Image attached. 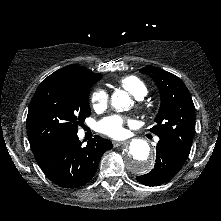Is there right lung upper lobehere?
<instances>
[{"label": "right lung upper lobe", "instance_id": "1", "mask_svg": "<svg viewBox=\"0 0 221 221\" xmlns=\"http://www.w3.org/2000/svg\"><path fill=\"white\" fill-rule=\"evenodd\" d=\"M99 73H93L89 69L85 67H81L78 65H69L66 66L53 74H51V77H71V78H85V77H91L95 76Z\"/></svg>", "mask_w": 221, "mask_h": 221}]
</instances>
